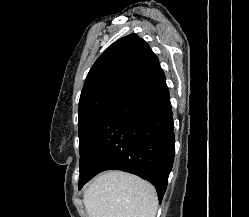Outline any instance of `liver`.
Segmentation results:
<instances>
[{"mask_svg":"<svg viewBox=\"0 0 249 217\" xmlns=\"http://www.w3.org/2000/svg\"><path fill=\"white\" fill-rule=\"evenodd\" d=\"M88 217H155L158 198L145 180L121 171L101 174L83 195Z\"/></svg>","mask_w":249,"mask_h":217,"instance_id":"6515ba94","label":"liver"}]
</instances>
